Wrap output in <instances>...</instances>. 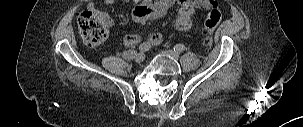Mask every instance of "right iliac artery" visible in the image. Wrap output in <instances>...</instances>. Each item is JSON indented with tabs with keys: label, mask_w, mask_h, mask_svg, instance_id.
Returning <instances> with one entry per match:
<instances>
[{
	"label": "right iliac artery",
	"mask_w": 303,
	"mask_h": 127,
	"mask_svg": "<svg viewBox=\"0 0 303 127\" xmlns=\"http://www.w3.org/2000/svg\"><path fill=\"white\" fill-rule=\"evenodd\" d=\"M150 48H151V45H150L149 43H142V44L139 46V51H140V52H146V51H148Z\"/></svg>",
	"instance_id": "right-iliac-artery-1"
}]
</instances>
